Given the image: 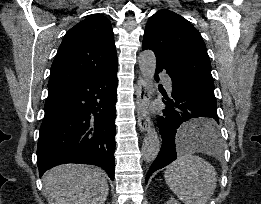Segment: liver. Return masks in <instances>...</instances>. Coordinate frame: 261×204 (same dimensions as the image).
Masks as SVG:
<instances>
[{
	"label": "liver",
	"mask_w": 261,
	"mask_h": 204,
	"mask_svg": "<svg viewBox=\"0 0 261 204\" xmlns=\"http://www.w3.org/2000/svg\"><path fill=\"white\" fill-rule=\"evenodd\" d=\"M43 185L44 194L55 204H104L109 190L102 169L78 164L50 169Z\"/></svg>",
	"instance_id": "obj_1"
}]
</instances>
